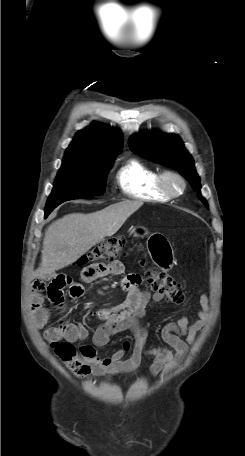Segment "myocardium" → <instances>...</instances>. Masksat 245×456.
Instances as JSON below:
<instances>
[{
	"mask_svg": "<svg viewBox=\"0 0 245 456\" xmlns=\"http://www.w3.org/2000/svg\"><path fill=\"white\" fill-rule=\"evenodd\" d=\"M171 179H175L179 182L180 189L178 191L172 188L170 184ZM157 185L159 189L170 198L181 196L186 189V181L184 177L180 173L171 170H166L159 174Z\"/></svg>",
	"mask_w": 245,
	"mask_h": 456,
	"instance_id": "obj_1",
	"label": "myocardium"
}]
</instances>
